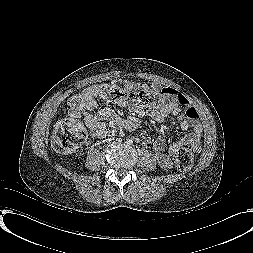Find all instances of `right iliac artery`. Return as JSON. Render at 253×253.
I'll return each mask as SVG.
<instances>
[{"label": "right iliac artery", "mask_w": 253, "mask_h": 253, "mask_svg": "<svg viewBox=\"0 0 253 253\" xmlns=\"http://www.w3.org/2000/svg\"><path fill=\"white\" fill-rule=\"evenodd\" d=\"M117 141H119V142H120V141H122V140H121V138H117Z\"/></svg>", "instance_id": "obj_1"}]
</instances>
